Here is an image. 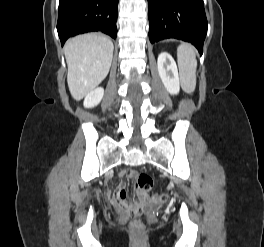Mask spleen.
I'll use <instances>...</instances> for the list:
<instances>
[{
	"instance_id": "spleen-1",
	"label": "spleen",
	"mask_w": 264,
	"mask_h": 247,
	"mask_svg": "<svg viewBox=\"0 0 264 247\" xmlns=\"http://www.w3.org/2000/svg\"><path fill=\"white\" fill-rule=\"evenodd\" d=\"M177 60L182 88L185 92L192 93L196 87L197 69L194 47L190 44H181L177 48Z\"/></svg>"
}]
</instances>
